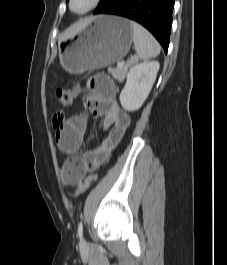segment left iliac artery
<instances>
[{
    "mask_svg": "<svg viewBox=\"0 0 227 265\" xmlns=\"http://www.w3.org/2000/svg\"><path fill=\"white\" fill-rule=\"evenodd\" d=\"M82 234H83V224L82 222H80L78 226V236L80 237V239H82Z\"/></svg>",
    "mask_w": 227,
    "mask_h": 265,
    "instance_id": "left-iliac-artery-1",
    "label": "left iliac artery"
}]
</instances>
